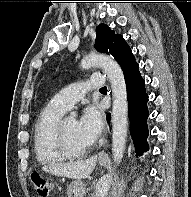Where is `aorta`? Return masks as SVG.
Segmentation results:
<instances>
[{
    "mask_svg": "<svg viewBox=\"0 0 191 197\" xmlns=\"http://www.w3.org/2000/svg\"><path fill=\"white\" fill-rule=\"evenodd\" d=\"M81 65L83 68L101 67L111 84L113 96L112 155L114 162L119 164L123 158L128 130L127 88L123 71L115 60L101 54L86 56ZM75 117L76 113L72 112L70 118Z\"/></svg>",
    "mask_w": 191,
    "mask_h": 197,
    "instance_id": "762f6f07",
    "label": "aorta"
}]
</instances>
